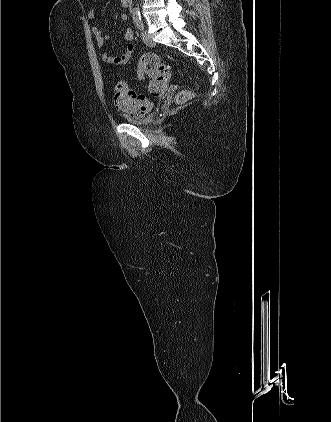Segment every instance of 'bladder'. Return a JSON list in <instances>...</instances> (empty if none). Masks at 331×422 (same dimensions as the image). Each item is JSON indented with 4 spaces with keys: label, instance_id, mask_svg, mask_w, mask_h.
Instances as JSON below:
<instances>
[{
    "label": "bladder",
    "instance_id": "obj_1",
    "mask_svg": "<svg viewBox=\"0 0 331 422\" xmlns=\"http://www.w3.org/2000/svg\"><path fill=\"white\" fill-rule=\"evenodd\" d=\"M122 119L132 125H136V126H150L154 123L155 121V114L150 112L146 115L143 116H132V115H127L124 114L122 115Z\"/></svg>",
    "mask_w": 331,
    "mask_h": 422
}]
</instances>
